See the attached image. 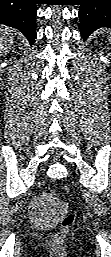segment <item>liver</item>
I'll return each mask as SVG.
<instances>
[{
	"label": "liver",
	"mask_w": 111,
	"mask_h": 257,
	"mask_svg": "<svg viewBox=\"0 0 111 257\" xmlns=\"http://www.w3.org/2000/svg\"><path fill=\"white\" fill-rule=\"evenodd\" d=\"M13 30L2 27L0 30V51L5 54L13 44Z\"/></svg>",
	"instance_id": "1"
}]
</instances>
